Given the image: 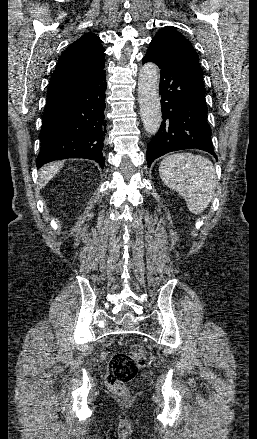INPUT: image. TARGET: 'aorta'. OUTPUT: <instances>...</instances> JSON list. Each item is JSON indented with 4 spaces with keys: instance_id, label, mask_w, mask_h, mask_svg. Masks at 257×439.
<instances>
[{
    "instance_id": "obj_1",
    "label": "aorta",
    "mask_w": 257,
    "mask_h": 439,
    "mask_svg": "<svg viewBox=\"0 0 257 439\" xmlns=\"http://www.w3.org/2000/svg\"><path fill=\"white\" fill-rule=\"evenodd\" d=\"M140 115L147 133L155 135L161 125L159 69L154 63L145 64L138 78Z\"/></svg>"
}]
</instances>
